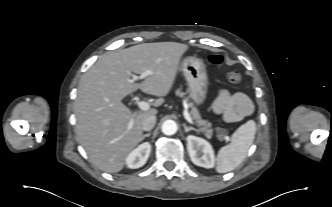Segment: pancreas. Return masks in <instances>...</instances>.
<instances>
[{"label":"pancreas","instance_id":"cf45deb5","mask_svg":"<svg viewBox=\"0 0 332 207\" xmlns=\"http://www.w3.org/2000/svg\"><path fill=\"white\" fill-rule=\"evenodd\" d=\"M183 94V93H181ZM189 106L191 109V115L198 126H200V130L204 132L205 136L210 139L213 133V130L211 128V124L205 120H202L199 114V111L196 107L193 106L192 103H189ZM224 135H226V132H219L218 137L221 139Z\"/></svg>","mask_w":332,"mask_h":207}]
</instances>
